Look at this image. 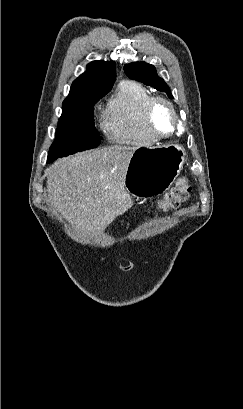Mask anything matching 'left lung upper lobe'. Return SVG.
I'll return each mask as SVG.
<instances>
[{"label":"left lung upper lobe","instance_id":"5c2ea615","mask_svg":"<svg viewBox=\"0 0 243 409\" xmlns=\"http://www.w3.org/2000/svg\"><path fill=\"white\" fill-rule=\"evenodd\" d=\"M124 71L129 78L141 81L146 85L164 91L170 98H173L169 87L164 80L157 75L156 69L153 65L147 64L146 62H133L126 64L124 66Z\"/></svg>","mask_w":243,"mask_h":409}]
</instances>
